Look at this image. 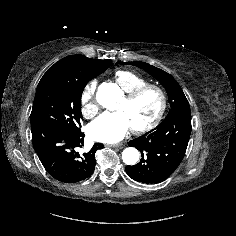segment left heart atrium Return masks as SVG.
<instances>
[{
	"instance_id": "obj_1",
	"label": "left heart atrium",
	"mask_w": 236,
	"mask_h": 236,
	"mask_svg": "<svg viewBox=\"0 0 236 236\" xmlns=\"http://www.w3.org/2000/svg\"><path fill=\"white\" fill-rule=\"evenodd\" d=\"M132 128L123 111L106 112L93 121L88 127L89 136L99 142L116 143Z\"/></svg>"
}]
</instances>
